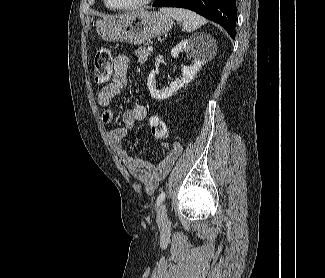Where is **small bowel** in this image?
<instances>
[{"label": "small bowel", "mask_w": 325, "mask_h": 278, "mask_svg": "<svg viewBox=\"0 0 325 278\" xmlns=\"http://www.w3.org/2000/svg\"><path fill=\"white\" fill-rule=\"evenodd\" d=\"M130 59L125 54H119L114 60L112 81L104 86L98 93L97 100L104 109L101 120L104 124H110L114 119V112L110 107L112 99L125 90L128 79L127 72ZM147 116V109L144 105L135 102L122 114L123 126L116 127L108 132V137L115 150L121 156L129 173L144 185L147 193L152 194L158 188L160 182L167 176L171 167L176 162L181 152L179 142L163 141L164 154L157 164L152 163L146 158L132 155L122 145L127 130L136 121H142Z\"/></svg>", "instance_id": "obj_1"}]
</instances>
